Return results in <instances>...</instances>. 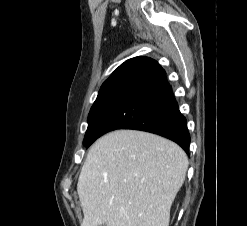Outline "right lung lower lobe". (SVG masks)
I'll use <instances>...</instances> for the list:
<instances>
[{
	"label": "right lung lower lobe",
	"mask_w": 247,
	"mask_h": 226,
	"mask_svg": "<svg viewBox=\"0 0 247 226\" xmlns=\"http://www.w3.org/2000/svg\"><path fill=\"white\" fill-rule=\"evenodd\" d=\"M116 129L158 134L189 154L186 119L179 111L165 71L155 60L135 57L124 63L86 147Z\"/></svg>",
	"instance_id": "right-lung-lower-lobe-1"
}]
</instances>
